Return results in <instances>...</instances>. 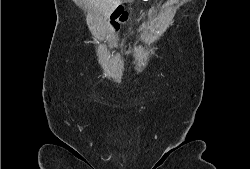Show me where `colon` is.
<instances>
[{"instance_id":"1","label":"colon","mask_w":250,"mask_h":169,"mask_svg":"<svg viewBox=\"0 0 250 169\" xmlns=\"http://www.w3.org/2000/svg\"><path fill=\"white\" fill-rule=\"evenodd\" d=\"M128 18V12L122 6L117 7L110 15L111 28L113 30H119L121 26L127 22Z\"/></svg>"}]
</instances>
